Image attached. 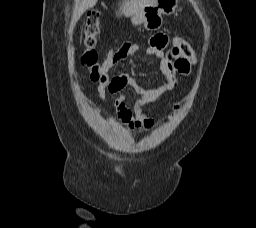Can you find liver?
<instances>
[{"label":"liver","mask_w":256,"mask_h":228,"mask_svg":"<svg viewBox=\"0 0 256 228\" xmlns=\"http://www.w3.org/2000/svg\"><path fill=\"white\" fill-rule=\"evenodd\" d=\"M98 0H79L78 6L73 12L72 23H76L81 15L88 9L93 8ZM153 0H123L117 16H133L140 9L152 3Z\"/></svg>","instance_id":"6515ba94"}]
</instances>
